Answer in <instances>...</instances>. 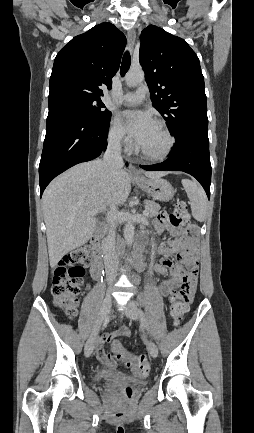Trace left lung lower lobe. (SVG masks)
Returning a JSON list of instances; mask_svg holds the SVG:
<instances>
[{"mask_svg": "<svg viewBox=\"0 0 254 433\" xmlns=\"http://www.w3.org/2000/svg\"><path fill=\"white\" fill-rule=\"evenodd\" d=\"M170 157L159 164L140 165L144 170L183 171L194 176L205 189L210 198L211 164L209 155L208 130L190 128L177 137Z\"/></svg>", "mask_w": 254, "mask_h": 433, "instance_id": "obj_1", "label": "left lung lower lobe"}]
</instances>
